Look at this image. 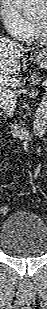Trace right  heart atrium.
I'll list each match as a JSON object with an SVG mask.
<instances>
[{
  "label": "right heart atrium",
  "mask_w": 47,
  "mask_h": 309,
  "mask_svg": "<svg viewBox=\"0 0 47 309\" xmlns=\"http://www.w3.org/2000/svg\"><path fill=\"white\" fill-rule=\"evenodd\" d=\"M0 14L8 33L20 41L29 40L34 34V27L20 13L12 0H1Z\"/></svg>",
  "instance_id": "1"
}]
</instances>
